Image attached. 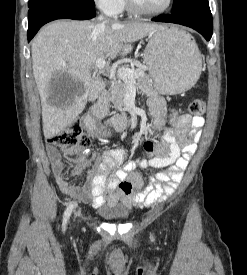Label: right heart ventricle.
<instances>
[{"mask_svg":"<svg viewBox=\"0 0 247 275\" xmlns=\"http://www.w3.org/2000/svg\"><path fill=\"white\" fill-rule=\"evenodd\" d=\"M127 8V4H126V1L125 0H122V3H121V10L120 11H123Z\"/></svg>","mask_w":247,"mask_h":275,"instance_id":"e07e8e85","label":"right heart ventricle"}]
</instances>
